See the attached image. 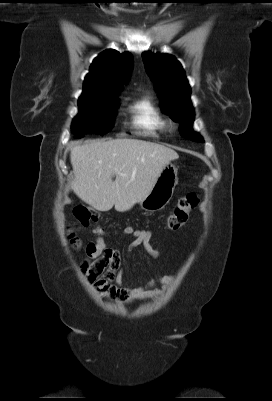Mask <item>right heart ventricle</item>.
Returning <instances> with one entry per match:
<instances>
[{
  "label": "right heart ventricle",
  "mask_w": 272,
  "mask_h": 401,
  "mask_svg": "<svg viewBox=\"0 0 272 401\" xmlns=\"http://www.w3.org/2000/svg\"><path fill=\"white\" fill-rule=\"evenodd\" d=\"M127 110L134 129L145 136L159 137L168 130V121L160 105L149 94L130 101Z\"/></svg>",
  "instance_id": "e07e8e85"
}]
</instances>
